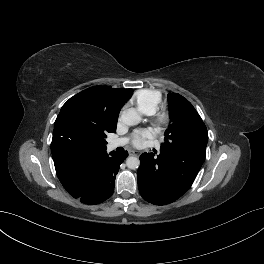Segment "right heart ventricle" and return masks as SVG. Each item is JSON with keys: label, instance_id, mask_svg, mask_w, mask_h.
I'll list each match as a JSON object with an SVG mask.
<instances>
[{"label": "right heart ventricle", "instance_id": "right-heart-ventricle-1", "mask_svg": "<svg viewBox=\"0 0 264 264\" xmlns=\"http://www.w3.org/2000/svg\"><path fill=\"white\" fill-rule=\"evenodd\" d=\"M162 100V94L154 89H142L133 96V102L140 111L146 114L154 113Z\"/></svg>", "mask_w": 264, "mask_h": 264}]
</instances>
